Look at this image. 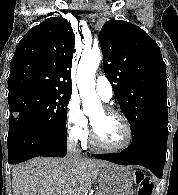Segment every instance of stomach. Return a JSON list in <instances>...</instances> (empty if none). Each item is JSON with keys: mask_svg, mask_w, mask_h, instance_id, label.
I'll return each instance as SVG.
<instances>
[{"mask_svg": "<svg viewBox=\"0 0 178 195\" xmlns=\"http://www.w3.org/2000/svg\"><path fill=\"white\" fill-rule=\"evenodd\" d=\"M135 176L126 167L110 166L100 172L98 195H134Z\"/></svg>", "mask_w": 178, "mask_h": 195, "instance_id": "0dacf381", "label": "stomach"}]
</instances>
